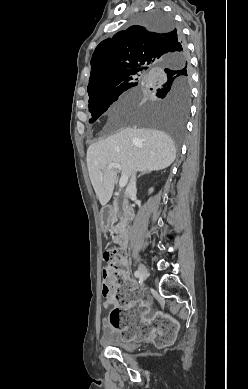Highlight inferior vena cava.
Wrapping results in <instances>:
<instances>
[{
  "instance_id": "1",
  "label": "inferior vena cava",
  "mask_w": 248,
  "mask_h": 389,
  "mask_svg": "<svg viewBox=\"0 0 248 389\" xmlns=\"http://www.w3.org/2000/svg\"><path fill=\"white\" fill-rule=\"evenodd\" d=\"M136 192H137V188H136V173L134 172L131 175L130 182H129L127 188H126L125 196H126V198H129L133 194H136Z\"/></svg>"
}]
</instances>
